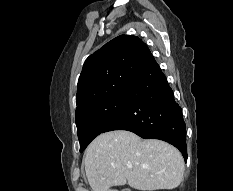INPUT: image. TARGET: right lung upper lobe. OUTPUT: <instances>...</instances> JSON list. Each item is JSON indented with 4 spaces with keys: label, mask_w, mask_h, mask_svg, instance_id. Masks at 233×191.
Masks as SVG:
<instances>
[{
    "label": "right lung upper lobe",
    "mask_w": 233,
    "mask_h": 191,
    "mask_svg": "<svg viewBox=\"0 0 233 191\" xmlns=\"http://www.w3.org/2000/svg\"><path fill=\"white\" fill-rule=\"evenodd\" d=\"M153 58L136 36L121 35L90 55L78 80L76 112L107 97L128 92Z\"/></svg>",
    "instance_id": "cb5924a9"
}]
</instances>
